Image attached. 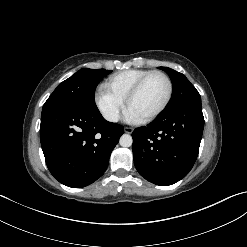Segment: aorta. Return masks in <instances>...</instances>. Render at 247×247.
<instances>
[{
	"label": "aorta",
	"instance_id": "762f6f07",
	"mask_svg": "<svg viewBox=\"0 0 247 247\" xmlns=\"http://www.w3.org/2000/svg\"><path fill=\"white\" fill-rule=\"evenodd\" d=\"M119 143H120V145L122 147H130V146H132V143H133L132 136L129 135V134H123L120 137Z\"/></svg>",
	"mask_w": 247,
	"mask_h": 247
}]
</instances>
